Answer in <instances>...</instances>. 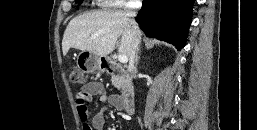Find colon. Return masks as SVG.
Listing matches in <instances>:
<instances>
[{
  "instance_id": "obj_1",
  "label": "colon",
  "mask_w": 257,
  "mask_h": 130,
  "mask_svg": "<svg viewBox=\"0 0 257 130\" xmlns=\"http://www.w3.org/2000/svg\"><path fill=\"white\" fill-rule=\"evenodd\" d=\"M71 81L75 84H82L85 81L84 73L79 68H73L70 74Z\"/></svg>"
}]
</instances>
